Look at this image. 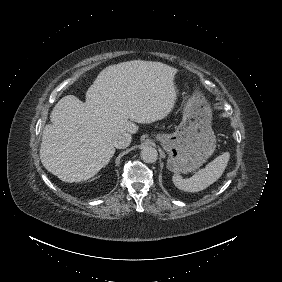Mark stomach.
Masks as SVG:
<instances>
[{"label":"stomach","instance_id":"stomach-1","mask_svg":"<svg viewBox=\"0 0 282 282\" xmlns=\"http://www.w3.org/2000/svg\"><path fill=\"white\" fill-rule=\"evenodd\" d=\"M211 122L212 109L205 97L199 92L189 97L176 131L156 137L168 154L167 168L170 171L192 172L214 153L216 136Z\"/></svg>","mask_w":282,"mask_h":282}]
</instances>
